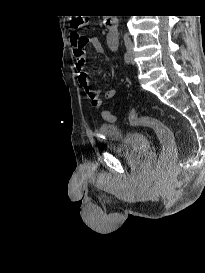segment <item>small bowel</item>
<instances>
[{"mask_svg":"<svg viewBox=\"0 0 205 273\" xmlns=\"http://www.w3.org/2000/svg\"><path fill=\"white\" fill-rule=\"evenodd\" d=\"M108 45L111 49L116 48V40L115 34H111L110 32L107 35ZM89 45L92 47L95 53L101 54L103 53V47L99 42L97 37H87V36H80L78 39L74 40L73 50L75 56V69L77 73V79L80 87L86 94L87 98L90 100L92 107L99 108L102 105V99L100 97V91L97 89L90 88L89 84V74L84 70L86 65V51L85 47ZM116 95V90L111 88L106 91L105 97L107 99H112ZM110 113L109 111H103L102 117L106 119V114ZM113 121V120H107Z\"/></svg>","mask_w":205,"mask_h":273,"instance_id":"c3829d8e","label":"small bowel"}]
</instances>
